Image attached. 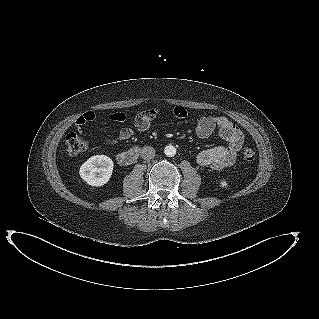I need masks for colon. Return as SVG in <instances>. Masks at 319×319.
Instances as JSON below:
<instances>
[{
    "instance_id": "1",
    "label": "colon",
    "mask_w": 319,
    "mask_h": 319,
    "mask_svg": "<svg viewBox=\"0 0 319 319\" xmlns=\"http://www.w3.org/2000/svg\"><path fill=\"white\" fill-rule=\"evenodd\" d=\"M124 115L121 113H117L111 116V119L123 121ZM66 154L69 157H75L88 149V142L81 137H79L76 133H69L66 135L64 140ZM243 158L250 162L255 158V151L250 147H245L242 152Z\"/></svg>"
}]
</instances>
